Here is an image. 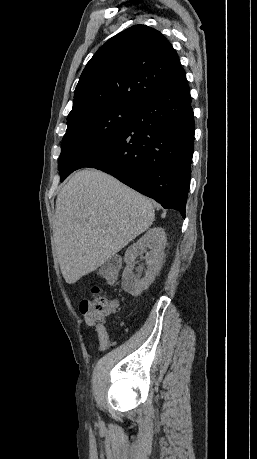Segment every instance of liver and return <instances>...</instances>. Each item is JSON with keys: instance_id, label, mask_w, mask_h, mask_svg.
I'll return each instance as SVG.
<instances>
[{"instance_id": "1", "label": "liver", "mask_w": 257, "mask_h": 459, "mask_svg": "<svg viewBox=\"0 0 257 459\" xmlns=\"http://www.w3.org/2000/svg\"><path fill=\"white\" fill-rule=\"evenodd\" d=\"M155 219L149 199L95 169L74 174L56 199L53 233L65 281L104 264Z\"/></svg>"}]
</instances>
